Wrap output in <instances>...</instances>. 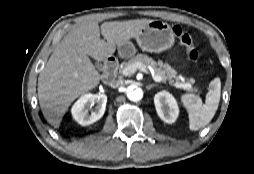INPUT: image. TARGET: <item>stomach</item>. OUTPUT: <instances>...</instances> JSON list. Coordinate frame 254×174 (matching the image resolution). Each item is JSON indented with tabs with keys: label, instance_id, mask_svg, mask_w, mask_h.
I'll use <instances>...</instances> for the list:
<instances>
[{
	"label": "stomach",
	"instance_id": "0dacf381",
	"mask_svg": "<svg viewBox=\"0 0 254 174\" xmlns=\"http://www.w3.org/2000/svg\"><path fill=\"white\" fill-rule=\"evenodd\" d=\"M137 43L143 51L159 53L169 50L174 45V34L169 24L154 20L136 37ZM118 53L122 58L134 55L135 47L127 41L118 46Z\"/></svg>",
	"mask_w": 254,
	"mask_h": 174
}]
</instances>
